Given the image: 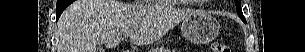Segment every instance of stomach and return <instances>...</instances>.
<instances>
[{
    "label": "stomach",
    "mask_w": 305,
    "mask_h": 52,
    "mask_svg": "<svg viewBox=\"0 0 305 52\" xmlns=\"http://www.w3.org/2000/svg\"><path fill=\"white\" fill-rule=\"evenodd\" d=\"M219 32V22L212 15L195 11L181 24L184 38L193 43H208L215 39Z\"/></svg>",
    "instance_id": "stomach-1"
}]
</instances>
